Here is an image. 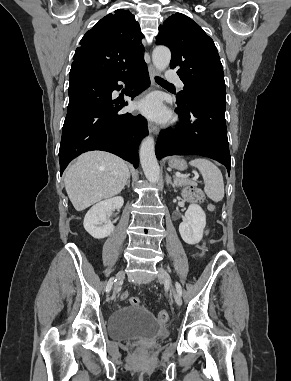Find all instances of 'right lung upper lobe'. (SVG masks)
<instances>
[{
	"label": "right lung upper lobe",
	"mask_w": 291,
	"mask_h": 381,
	"mask_svg": "<svg viewBox=\"0 0 291 381\" xmlns=\"http://www.w3.org/2000/svg\"><path fill=\"white\" fill-rule=\"evenodd\" d=\"M140 26L128 10L110 13L87 31L73 56L70 74L114 78L144 62Z\"/></svg>",
	"instance_id": "cb5924a9"
}]
</instances>
